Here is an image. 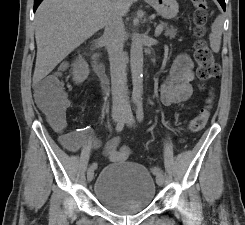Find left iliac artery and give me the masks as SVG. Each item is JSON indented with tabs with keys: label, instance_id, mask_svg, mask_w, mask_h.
<instances>
[{
	"label": "left iliac artery",
	"instance_id": "obj_1",
	"mask_svg": "<svg viewBox=\"0 0 245 225\" xmlns=\"http://www.w3.org/2000/svg\"><path fill=\"white\" fill-rule=\"evenodd\" d=\"M136 117L139 122L144 119L143 104L141 100L136 101ZM153 174L158 177L162 175V169L160 167H154Z\"/></svg>",
	"mask_w": 245,
	"mask_h": 225
}]
</instances>
